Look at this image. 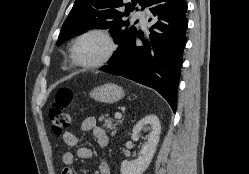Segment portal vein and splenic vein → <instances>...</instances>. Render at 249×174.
Wrapping results in <instances>:
<instances>
[{"label":"portal vein and splenic vein","instance_id":"obj_1","mask_svg":"<svg viewBox=\"0 0 249 174\" xmlns=\"http://www.w3.org/2000/svg\"><path fill=\"white\" fill-rule=\"evenodd\" d=\"M114 116H115V118H116V119H121V118H122L121 113H118V112H117V113H115V115H114Z\"/></svg>","mask_w":249,"mask_h":174}]
</instances>
